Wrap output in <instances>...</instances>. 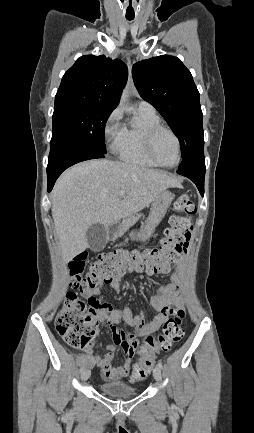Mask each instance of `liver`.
<instances>
[{"instance_id":"6515ba94","label":"liver","mask_w":254,"mask_h":433,"mask_svg":"<svg viewBox=\"0 0 254 433\" xmlns=\"http://www.w3.org/2000/svg\"><path fill=\"white\" fill-rule=\"evenodd\" d=\"M179 186L164 171L124 162L95 159L71 167L52 191V217L64 261L88 248L90 225L116 224L149 206L163 190Z\"/></svg>"}]
</instances>
